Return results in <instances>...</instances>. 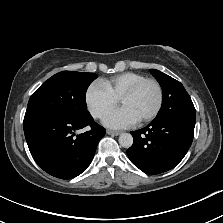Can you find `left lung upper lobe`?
<instances>
[{
    "instance_id": "5c2ea615",
    "label": "left lung upper lobe",
    "mask_w": 223,
    "mask_h": 223,
    "mask_svg": "<svg viewBox=\"0 0 223 223\" xmlns=\"http://www.w3.org/2000/svg\"><path fill=\"white\" fill-rule=\"evenodd\" d=\"M150 72L162 88V106L154 121L169 118L196 120V111L189 94L183 85L169 75L155 69Z\"/></svg>"
}]
</instances>
